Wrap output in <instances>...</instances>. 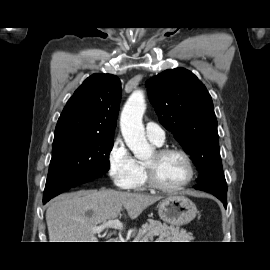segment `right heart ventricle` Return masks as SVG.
<instances>
[{"label":"right heart ventricle","instance_id":"e07e8e85","mask_svg":"<svg viewBox=\"0 0 270 270\" xmlns=\"http://www.w3.org/2000/svg\"><path fill=\"white\" fill-rule=\"evenodd\" d=\"M138 164V175L135 180L133 188L136 190H144L147 186L144 164L142 162H137Z\"/></svg>","mask_w":270,"mask_h":270}]
</instances>
